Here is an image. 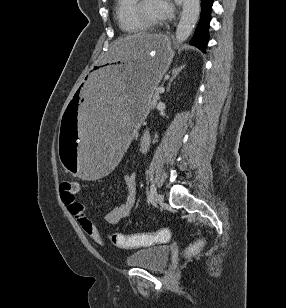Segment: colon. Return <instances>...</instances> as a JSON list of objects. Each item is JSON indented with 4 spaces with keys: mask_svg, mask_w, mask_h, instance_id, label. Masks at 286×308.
<instances>
[{
    "mask_svg": "<svg viewBox=\"0 0 286 308\" xmlns=\"http://www.w3.org/2000/svg\"><path fill=\"white\" fill-rule=\"evenodd\" d=\"M78 189L79 183L75 180H64L60 183V191L63 196L74 197ZM169 238L170 232L168 230L152 234L124 235L112 233L109 235V240L114 246L125 249L152 246L166 242ZM202 244L203 240H197L186 249V254H194Z\"/></svg>",
    "mask_w": 286,
    "mask_h": 308,
    "instance_id": "5ec220e1",
    "label": "colon"
}]
</instances>
